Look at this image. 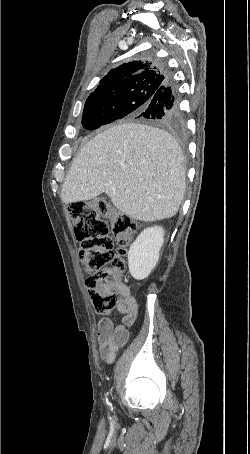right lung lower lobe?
<instances>
[{"label": "right lung lower lobe", "mask_w": 250, "mask_h": 454, "mask_svg": "<svg viewBox=\"0 0 250 454\" xmlns=\"http://www.w3.org/2000/svg\"><path fill=\"white\" fill-rule=\"evenodd\" d=\"M179 104L178 89L168 73L164 86L154 94L146 110L139 116L142 119L154 120L161 125L179 127L181 125Z\"/></svg>", "instance_id": "98d812e1"}]
</instances>
